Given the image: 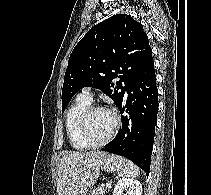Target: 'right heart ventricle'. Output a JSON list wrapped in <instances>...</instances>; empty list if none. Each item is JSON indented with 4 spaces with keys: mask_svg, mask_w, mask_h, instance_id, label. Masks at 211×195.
<instances>
[{
    "mask_svg": "<svg viewBox=\"0 0 211 195\" xmlns=\"http://www.w3.org/2000/svg\"><path fill=\"white\" fill-rule=\"evenodd\" d=\"M91 104V99L78 95L74 103L69 107L66 114V131L70 144L77 150H85L89 146L81 139L78 132V123L81 114Z\"/></svg>",
    "mask_w": 211,
    "mask_h": 195,
    "instance_id": "1",
    "label": "right heart ventricle"
}]
</instances>
